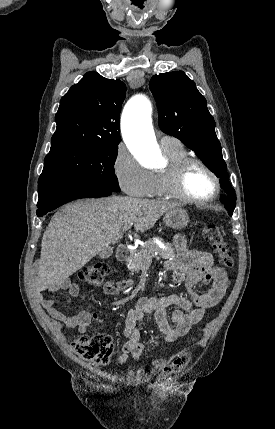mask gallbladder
Returning <instances> with one entry per match:
<instances>
[{"instance_id":"obj_1","label":"gallbladder","mask_w":275,"mask_h":429,"mask_svg":"<svg viewBox=\"0 0 275 429\" xmlns=\"http://www.w3.org/2000/svg\"><path fill=\"white\" fill-rule=\"evenodd\" d=\"M113 254V248L112 247H105L100 253L99 257L101 259H107Z\"/></svg>"}]
</instances>
